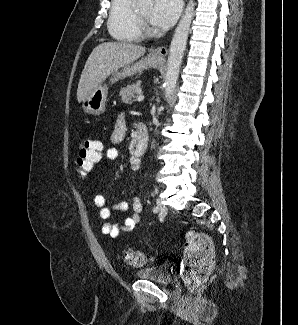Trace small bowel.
I'll use <instances>...</instances> for the list:
<instances>
[{
    "mask_svg": "<svg viewBox=\"0 0 298 325\" xmlns=\"http://www.w3.org/2000/svg\"><path fill=\"white\" fill-rule=\"evenodd\" d=\"M126 134V123L123 118H119L115 124L114 130L111 135V143L113 144L106 150V159L114 160L118 156V150L115 147L120 143ZM130 168L133 171L139 170L141 166L140 159L136 157L130 158ZM94 205L100 209V217L102 219H109L114 211L125 215L124 223L122 225L106 222L101 228L104 236L116 239L122 231L131 232L140 221V214L142 212V202L138 197H134L131 203L132 212H129V204L127 202H119L111 207L106 206V199L103 195L97 194L93 199Z\"/></svg>",
    "mask_w": 298,
    "mask_h": 325,
    "instance_id": "c3829d8e",
    "label": "small bowel"
}]
</instances>
